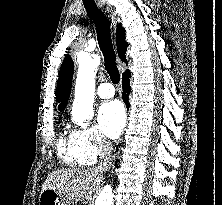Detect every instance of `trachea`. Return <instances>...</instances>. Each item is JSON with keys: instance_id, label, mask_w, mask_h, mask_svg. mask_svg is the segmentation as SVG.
Returning <instances> with one entry per match:
<instances>
[{"instance_id": "obj_1", "label": "trachea", "mask_w": 222, "mask_h": 205, "mask_svg": "<svg viewBox=\"0 0 222 205\" xmlns=\"http://www.w3.org/2000/svg\"><path fill=\"white\" fill-rule=\"evenodd\" d=\"M88 15L92 18L97 32L99 47L104 56V65L111 81L118 84L120 73L116 63V54L111 39L110 21L97 6H85Z\"/></svg>"}]
</instances>
